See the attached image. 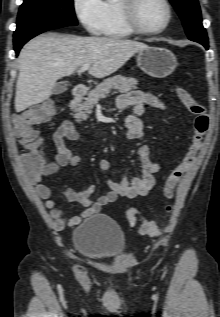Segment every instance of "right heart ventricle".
<instances>
[{
	"label": "right heart ventricle",
	"instance_id": "obj_1",
	"mask_svg": "<svg viewBox=\"0 0 220 317\" xmlns=\"http://www.w3.org/2000/svg\"><path fill=\"white\" fill-rule=\"evenodd\" d=\"M120 0H104L102 2V18L100 34L110 38H126L134 33L126 26L121 12Z\"/></svg>",
	"mask_w": 220,
	"mask_h": 317
}]
</instances>
